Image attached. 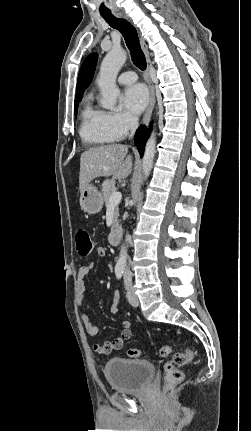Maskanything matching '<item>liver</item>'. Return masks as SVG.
<instances>
[{
	"mask_svg": "<svg viewBox=\"0 0 251 431\" xmlns=\"http://www.w3.org/2000/svg\"><path fill=\"white\" fill-rule=\"evenodd\" d=\"M128 147L122 144H110L91 148L82 153L80 158L79 189L82 192L97 177L113 176L124 179L131 174L132 156Z\"/></svg>",
	"mask_w": 251,
	"mask_h": 431,
	"instance_id": "obj_1",
	"label": "liver"
}]
</instances>
